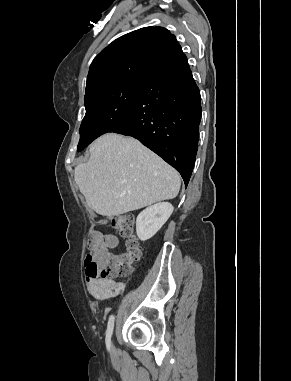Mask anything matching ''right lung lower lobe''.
Wrapping results in <instances>:
<instances>
[{"label":"right lung lower lobe","instance_id":"obj_1","mask_svg":"<svg viewBox=\"0 0 291 381\" xmlns=\"http://www.w3.org/2000/svg\"><path fill=\"white\" fill-rule=\"evenodd\" d=\"M200 91L185 54L143 81L129 120L114 133L132 136L190 180L199 138Z\"/></svg>","mask_w":291,"mask_h":381}]
</instances>
